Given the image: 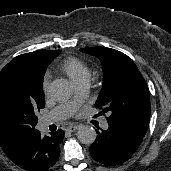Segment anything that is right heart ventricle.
Here are the masks:
<instances>
[{
  "mask_svg": "<svg viewBox=\"0 0 171 171\" xmlns=\"http://www.w3.org/2000/svg\"><path fill=\"white\" fill-rule=\"evenodd\" d=\"M61 69L75 83L82 79H88L90 70L88 66L76 57H68L61 63Z\"/></svg>",
  "mask_w": 171,
  "mask_h": 171,
  "instance_id": "obj_1",
  "label": "right heart ventricle"
}]
</instances>
